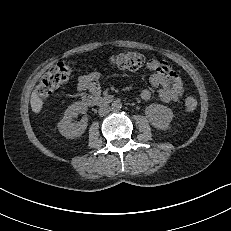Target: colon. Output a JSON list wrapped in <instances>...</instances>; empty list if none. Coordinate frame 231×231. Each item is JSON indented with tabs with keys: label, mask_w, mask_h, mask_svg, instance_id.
<instances>
[{
	"label": "colon",
	"mask_w": 231,
	"mask_h": 231,
	"mask_svg": "<svg viewBox=\"0 0 231 231\" xmlns=\"http://www.w3.org/2000/svg\"><path fill=\"white\" fill-rule=\"evenodd\" d=\"M112 67L126 71H136L144 64V57L136 52H124L113 55L109 59ZM74 74V67L71 64L59 62L51 67L41 78L37 87L39 96L46 99ZM196 98L189 96L184 100V108L188 112H194L197 109Z\"/></svg>",
	"instance_id": "1"
}]
</instances>
